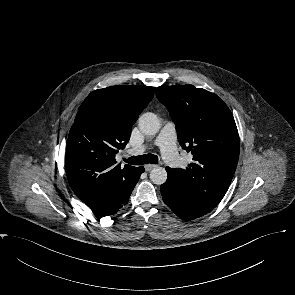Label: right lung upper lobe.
Returning <instances> with one entry per match:
<instances>
[{
    "label": "right lung upper lobe",
    "instance_id": "right-lung-upper-lobe-1",
    "mask_svg": "<svg viewBox=\"0 0 295 295\" xmlns=\"http://www.w3.org/2000/svg\"><path fill=\"white\" fill-rule=\"evenodd\" d=\"M155 87L111 86L90 93L81 104L66 148V174L77 197L90 208L129 179L136 167L117 164L131 127L152 100Z\"/></svg>",
    "mask_w": 295,
    "mask_h": 295
}]
</instances>
